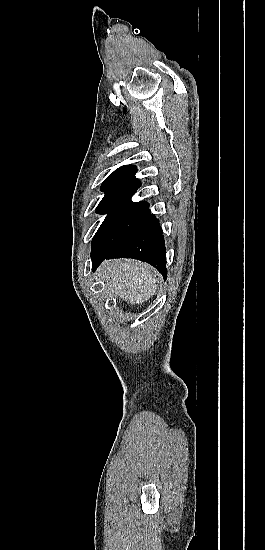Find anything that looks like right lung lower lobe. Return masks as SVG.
I'll return each instance as SVG.
<instances>
[{
    "instance_id": "right-lung-lower-lobe-1",
    "label": "right lung lower lobe",
    "mask_w": 265,
    "mask_h": 550,
    "mask_svg": "<svg viewBox=\"0 0 265 550\" xmlns=\"http://www.w3.org/2000/svg\"><path fill=\"white\" fill-rule=\"evenodd\" d=\"M165 241L162 229L150 210L111 250L91 254L92 271L105 259L134 258L154 266L166 279Z\"/></svg>"
}]
</instances>
